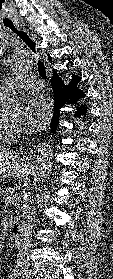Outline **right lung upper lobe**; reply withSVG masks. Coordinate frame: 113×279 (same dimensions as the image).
Masks as SVG:
<instances>
[{"instance_id":"1","label":"right lung upper lobe","mask_w":113,"mask_h":279,"mask_svg":"<svg viewBox=\"0 0 113 279\" xmlns=\"http://www.w3.org/2000/svg\"><path fill=\"white\" fill-rule=\"evenodd\" d=\"M48 57H49V59L51 60V57L48 55ZM54 74H56V73H54Z\"/></svg>"}]
</instances>
